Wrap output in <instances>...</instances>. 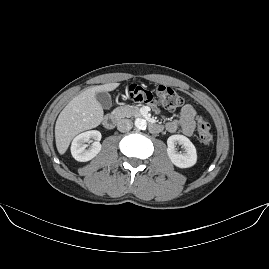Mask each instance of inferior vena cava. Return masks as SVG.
Returning <instances> with one entry per match:
<instances>
[{"label": "inferior vena cava", "mask_w": 269, "mask_h": 269, "mask_svg": "<svg viewBox=\"0 0 269 269\" xmlns=\"http://www.w3.org/2000/svg\"><path fill=\"white\" fill-rule=\"evenodd\" d=\"M132 127H133V122L130 119H121L117 123V129L120 132H127V131L131 130Z\"/></svg>", "instance_id": "1"}]
</instances>
